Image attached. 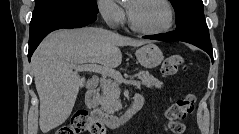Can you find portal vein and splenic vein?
Segmentation results:
<instances>
[{"label":"portal vein and splenic vein","instance_id":"portal-vein-and-splenic-vein-1","mask_svg":"<svg viewBox=\"0 0 239 134\" xmlns=\"http://www.w3.org/2000/svg\"><path fill=\"white\" fill-rule=\"evenodd\" d=\"M74 68L76 71H93L100 73L103 77H111L114 80L121 83H129L134 85H140L141 82L139 80H125L118 71H115L109 67L97 65V64H90V63H81L75 64Z\"/></svg>","mask_w":239,"mask_h":134}]
</instances>
